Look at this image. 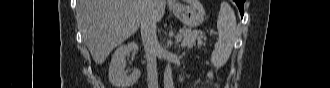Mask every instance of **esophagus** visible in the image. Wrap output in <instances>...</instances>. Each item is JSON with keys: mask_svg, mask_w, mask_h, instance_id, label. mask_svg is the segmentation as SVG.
I'll list each match as a JSON object with an SVG mask.
<instances>
[{"mask_svg": "<svg viewBox=\"0 0 330 88\" xmlns=\"http://www.w3.org/2000/svg\"><path fill=\"white\" fill-rule=\"evenodd\" d=\"M169 3H170V4H175V2H174V1H169Z\"/></svg>", "mask_w": 330, "mask_h": 88, "instance_id": "obj_1", "label": "esophagus"}]
</instances>
